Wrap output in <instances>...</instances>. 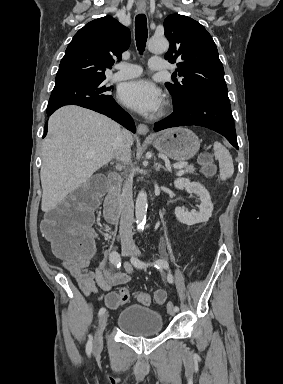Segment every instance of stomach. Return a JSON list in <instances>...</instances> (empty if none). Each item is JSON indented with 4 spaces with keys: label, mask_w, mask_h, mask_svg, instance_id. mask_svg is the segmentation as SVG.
I'll return each mask as SVG.
<instances>
[{
    "label": "stomach",
    "mask_w": 283,
    "mask_h": 384,
    "mask_svg": "<svg viewBox=\"0 0 283 384\" xmlns=\"http://www.w3.org/2000/svg\"><path fill=\"white\" fill-rule=\"evenodd\" d=\"M148 142L153 144L156 150H159L161 154H165L172 160H178V162H184V160H190L195 154H197L200 148V142L191 132L186 128H173V130H166L163 136L155 138V136H149Z\"/></svg>",
    "instance_id": "1"
}]
</instances>
